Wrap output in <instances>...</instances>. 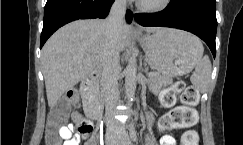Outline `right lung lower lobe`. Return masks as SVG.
<instances>
[{
  "label": "right lung lower lobe",
  "instance_id": "1",
  "mask_svg": "<svg viewBox=\"0 0 243 145\" xmlns=\"http://www.w3.org/2000/svg\"><path fill=\"white\" fill-rule=\"evenodd\" d=\"M114 0H47L44 9V25L40 48L61 26L78 19L105 18ZM133 14L127 11L126 20L131 23Z\"/></svg>",
  "mask_w": 243,
  "mask_h": 145
}]
</instances>
